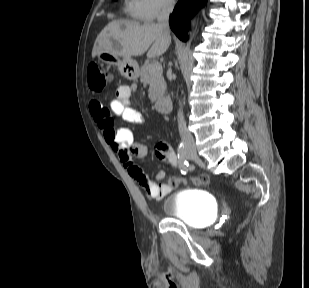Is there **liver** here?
I'll list each match as a JSON object with an SVG mask.
<instances>
[{
	"instance_id": "liver-1",
	"label": "liver",
	"mask_w": 309,
	"mask_h": 288,
	"mask_svg": "<svg viewBox=\"0 0 309 288\" xmlns=\"http://www.w3.org/2000/svg\"><path fill=\"white\" fill-rule=\"evenodd\" d=\"M170 43L171 37L156 23L114 20L97 36L92 57L100 52H110L122 58H131L141 56L148 50L147 56L152 58L165 53Z\"/></svg>"
}]
</instances>
